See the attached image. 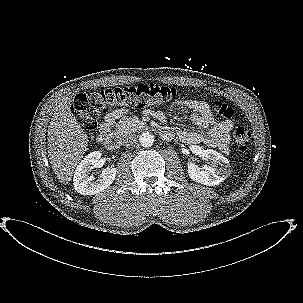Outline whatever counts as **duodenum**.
Masks as SVG:
<instances>
[{"label":"duodenum","mask_w":303,"mask_h":303,"mask_svg":"<svg viewBox=\"0 0 303 303\" xmlns=\"http://www.w3.org/2000/svg\"><path fill=\"white\" fill-rule=\"evenodd\" d=\"M162 136H163L164 138H167V139L170 138V137H168V135L165 133V131L162 133ZM102 142H103L104 146H105L107 149H109V150H117V149H119L120 146H121L120 138H119L117 135L113 134V133L108 134V135H106L105 137H103V138H102Z\"/></svg>","instance_id":"410a0bca"}]
</instances>
